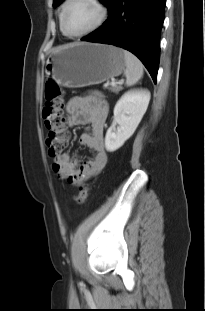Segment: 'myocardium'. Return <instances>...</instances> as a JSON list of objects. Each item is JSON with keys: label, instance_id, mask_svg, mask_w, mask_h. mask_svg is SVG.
I'll list each match as a JSON object with an SVG mask.
<instances>
[{"label": "myocardium", "instance_id": "myocardium-1", "mask_svg": "<svg viewBox=\"0 0 205 311\" xmlns=\"http://www.w3.org/2000/svg\"><path fill=\"white\" fill-rule=\"evenodd\" d=\"M89 2H91L92 4H94L97 9L99 10V17L97 19V21L94 23L93 26H91L89 29L78 33V34H71L67 31L66 26H65V19H66V13L68 10L69 5L73 2V0H66L64 2L63 8H62V16H61V29L62 32L70 37V38H81L84 37L94 31H96L97 29H99L107 20L108 18V8L106 7V5L103 3L102 0H88Z\"/></svg>", "mask_w": 205, "mask_h": 311}]
</instances>
